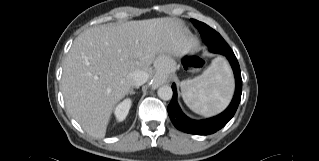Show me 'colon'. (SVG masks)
Returning <instances> with one entry per match:
<instances>
[{
  "label": "colon",
  "mask_w": 319,
  "mask_h": 161,
  "mask_svg": "<svg viewBox=\"0 0 319 161\" xmlns=\"http://www.w3.org/2000/svg\"><path fill=\"white\" fill-rule=\"evenodd\" d=\"M183 66L186 70H196L203 65V60L194 54H187L182 59Z\"/></svg>",
  "instance_id": "1"
}]
</instances>
